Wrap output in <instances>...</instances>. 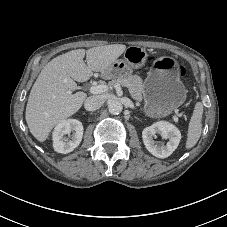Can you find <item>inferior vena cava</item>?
Listing matches in <instances>:
<instances>
[{
  "label": "inferior vena cava",
  "instance_id": "602c4592",
  "mask_svg": "<svg viewBox=\"0 0 227 227\" xmlns=\"http://www.w3.org/2000/svg\"><path fill=\"white\" fill-rule=\"evenodd\" d=\"M104 104V98L100 95L88 97L84 102V108L87 111H95Z\"/></svg>",
  "mask_w": 227,
  "mask_h": 227
}]
</instances>
